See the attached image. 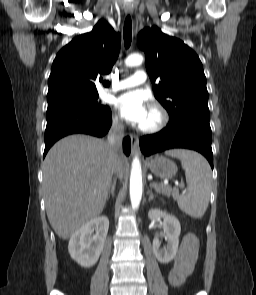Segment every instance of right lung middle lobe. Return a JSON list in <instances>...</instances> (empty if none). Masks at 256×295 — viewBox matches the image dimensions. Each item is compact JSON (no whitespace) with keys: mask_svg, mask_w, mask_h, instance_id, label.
I'll use <instances>...</instances> for the list:
<instances>
[{"mask_svg":"<svg viewBox=\"0 0 256 295\" xmlns=\"http://www.w3.org/2000/svg\"><path fill=\"white\" fill-rule=\"evenodd\" d=\"M68 107L85 111H104L108 109L107 106L101 104L98 94L70 93L48 100V109Z\"/></svg>","mask_w":256,"mask_h":295,"instance_id":"1","label":"right lung middle lobe"}]
</instances>
